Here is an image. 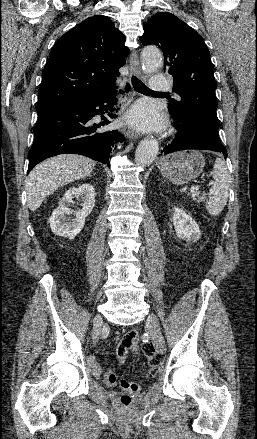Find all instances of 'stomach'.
Here are the masks:
<instances>
[{
	"instance_id": "stomach-1",
	"label": "stomach",
	"mask_w": 257,
	"mask_h": 439,
	"mask_svg": "<svg viewBox=\"0 0 257 439\" xmlns=\"http://www.w3.org/2000/svg\"><path fill=\"white\" fill-rule=\"evenodd\" d=\"M205 166L203 155L195 150L172 153L158 162L162 174L172 183L181 185L199 176Z\"/></svg>"
}]
</instances>
